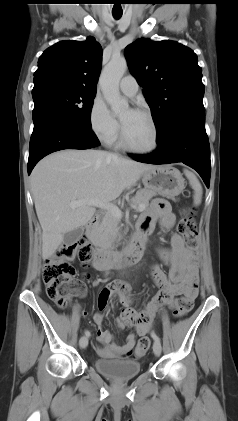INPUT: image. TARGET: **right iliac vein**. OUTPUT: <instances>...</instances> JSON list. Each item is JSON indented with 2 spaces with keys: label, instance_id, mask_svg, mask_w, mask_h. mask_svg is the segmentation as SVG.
Returning <instances> with one entry per match:
<instances>
[{
  "label": "right iliac vein",
  "instance_id": "63e3f726",
  "mask_svg": "<svg viewBox=\"0 0 238 421\" xmlns=\"http://www.w3.org/2000/svg\"><path fill=\"white\" fill-rule=\"evenodd\" d=\"M79 345L81 348H86L88 345V337L87 336H82L79 340Z\"/></svg>",
  "mask_w": 238,
  "mask_h": 421
}]
</instances>
